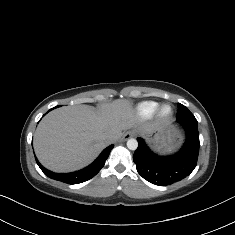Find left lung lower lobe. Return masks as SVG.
<instances>
[{"mask_svg":"<svg viewBox=\"0 0 235 235\" xmlns=\"http://www.w3.org/2000/svg\"><path fill=\"white\" fill-rule=\"evenodd\" d=\"M186 132V142L179 152L171 156H158L151 152L142 138H137L138 148L133 161L138 173L157 185H168L190 175L197 164L199 133L196 119H177Z\"/></svg>","mask_w":235,"mask_h":235,"instance_id":"1","label":"left lung lower lobe"}]
</instances>
